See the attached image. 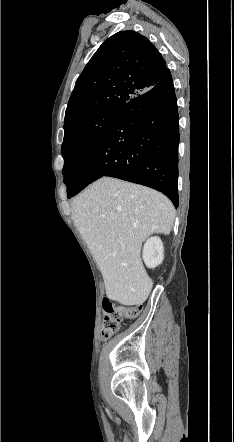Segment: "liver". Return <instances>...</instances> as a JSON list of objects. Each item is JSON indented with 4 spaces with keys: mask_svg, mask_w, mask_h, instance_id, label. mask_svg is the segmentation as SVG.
<instances>
[{
    "mask_svg": "<svg viewBox=\"0 0 234 442\" xmlns=\"http://www.w3.org/2000/svg\"><path fill=\"white\" fill-rule=\"evenodd\" d=\"M72 219L103 276L106 295L123 305H140L153 282L140 258L150 235H168L175 219L170 200L153 189L103 177L80 193Z\"/></svg>",
    "mask_w": 234,
    "mask_h": 442,
    "instance_id": "6515ba94",
    "label": "liver"
}]
</instances>
